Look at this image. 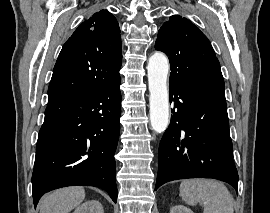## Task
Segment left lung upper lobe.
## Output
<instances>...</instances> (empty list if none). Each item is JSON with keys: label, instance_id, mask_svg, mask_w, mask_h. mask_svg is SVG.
Instances as JSON below:
<instances>
[{"label": "left lung upper lobe", "instance_id": "left-lung-upper-lobe-1", "mask_svg": "<svg viewBox=\"0 0 270 213\" xmlns=\"http://www.w3.org/2000/svg\"><path fill=\"white\" fill-rule=\"evenodd\" d=\"M155 49L170 60L169 85L225 99L220 63L207 37L188 19L173 15L158 32Z\"/></svg>", "mask_w": 270, "mask_h": 213}]
</instances>
